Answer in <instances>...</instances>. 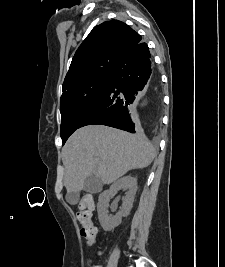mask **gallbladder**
<instances>
[{
  "label": "gallbladder",
  "mask_w": 225,
  "mask_h": 267,
  "mask_svg": "<svg viewBox=\"0 0 225 267\" xmlns=\"http://www.w3.org/2000/svg\"><path fill=\"white\" fill-rule=\"evenodd\" d=\"M102 189V182L99 178H97L94 174L88 176L84 182L83 190L96 193ZM66 200L68 203L75 205L79 200V193L78 192H70L66 195Z\"/></svg>",
  "instance_id": "bac80fb5"
}]
</instances>
